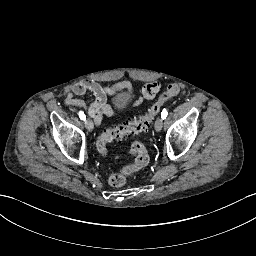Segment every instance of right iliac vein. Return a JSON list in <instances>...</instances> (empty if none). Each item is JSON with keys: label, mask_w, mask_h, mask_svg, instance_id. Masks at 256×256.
Returning a JSON list of instances; mask_svg holds the SVG:
<instances>
[{"label": "right iliac vein", "mask_w": 256, "mask_h": 256, "mask_svg": "<svg viewBox=\"0 0 256 256\" xmlns=\"http://www.w3.org/2000/svg\"><path fill=\"white\" fill-rule=\"evenodd\" d=\"M85 127L88 131H92L94 128L93 121L90 118H87L84 122Z\"/></svg>", "instance_id": "right-iliac-vein-1"}]
</instances>
